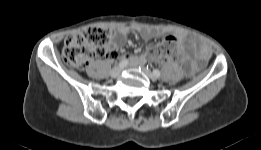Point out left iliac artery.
Returning <instances> with one entry per match:
<instances>
[{
  "instance_id": "obj_1",
  "label": "left iliac artery",
  "mask_w": 261,
  "mask_h": 150,
  "mask_svg": "<svg viewBox=\"0 0 261 150\" xmlns=\"http://www.w3.org/2000/svg\"><path fill=\"white\" fill-rule=\"evenodd\" d=\"M147 68H148V67H147ZM153 75H154L155 77H159V76H160V71H159L158 69L153 70Z\"/></svg>"
}]
</instances>
